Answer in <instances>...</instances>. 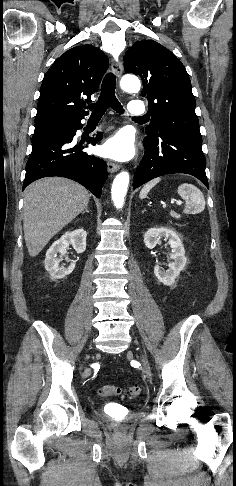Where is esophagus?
Returning <instances> with one entry per match:
<instances>
[{
    "label": "esophagus",
    "instance_id": "obj_1",
    "mask_svg": "<svg viewBox=\"0 0 236 486\" xmlns=\"http://www.w3.org/2000/svg\"><path fill=\"white\" fill-rule=\"evenodd\" d=\"M112 71L120 79L122 72H123V64L121 60L115 61L112 64ZM107 169L110 173L117 172L120 169V166L117 163H114L110 160L107 161Z\"/></svg>",
    "mask_w": 236,
    "mask_h": 486
}]
</instances>
